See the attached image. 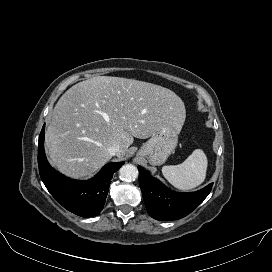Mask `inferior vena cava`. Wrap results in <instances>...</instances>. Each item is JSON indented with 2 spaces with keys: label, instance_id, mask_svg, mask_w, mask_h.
<instances>
[{
  "label": "inferior vena cava",
  "instance_id": "obj_1",
  "mask_svg": "<svg viewBox=\"0 0 272 272\" xmlns=\"http://www.w3.org/2000/svg\"><path fill=\"white\" fill-rule=\"evenodd\" d=\"M120 151V146L117 144H114L108 148V152L111 156L116 155Z\"/></svg>",
  "mask_w": 272,
  "mask_h": 272
}]
</instances>
